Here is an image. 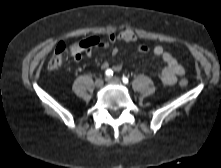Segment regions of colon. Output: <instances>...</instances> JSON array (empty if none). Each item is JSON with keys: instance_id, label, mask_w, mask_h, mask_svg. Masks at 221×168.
Listing matches in <instances>:
<instances>
[{"instance_id": "5ec220e1", "label": "colon", "mask_w": 221, "mask_h": 168, "mask_svg": "<svg viewBox=\"0 0 221 168\" xmlns=\"http://www.w3.org/2000/svg\"><path fill=\"white\" fill-rule=\"evenodd\" d=\"M108 39L112 43H125L126 41H128L129 43H134L137 40V35L134 29H124V30H117L116 32H110L108 34ZM98 42H99L98 39L92 38L86 42L77 44L72 47L71 55L73 56L74 59L78 60L82 57V54L85 50L89 49L91 46L98 44ZM66 53H67V50H66L65 44L59 43L56 46L47 64L48 69L55 70L59 68L64 61ZM180 85L183 87L186 86L187 81L181 80Z\"/></svg>"}]
</instances>
